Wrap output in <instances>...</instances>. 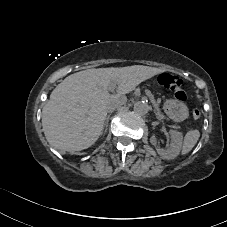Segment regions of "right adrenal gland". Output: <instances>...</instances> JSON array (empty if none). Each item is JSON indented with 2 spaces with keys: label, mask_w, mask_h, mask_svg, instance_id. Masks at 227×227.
Listing matches in <instances>:
<instances>
[{
  "label": "right adrenal gland",
  "mask_w": 227,
  "mask_h": 227,
  "mask_svg": "<svg viewBox=\"0 0 227 227\" xmlns=\"http://www.w3.org/2000/svg\"><path fill=\"white\" fill-rule=\"evenodd\" d=\"M109 115L107 116V118H106V120H105V122H104V126H105V130H104V133H106L107 132V127H108V122H109ZM103 134V131L101 132V134L100 135H102Z\"/></svg>",
  "instance_id": "2a0ac1e0"
}]
</instances>
